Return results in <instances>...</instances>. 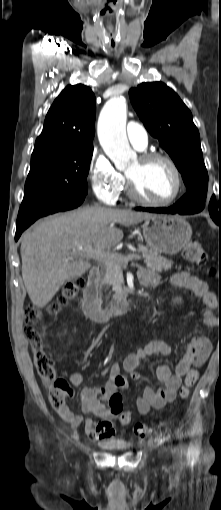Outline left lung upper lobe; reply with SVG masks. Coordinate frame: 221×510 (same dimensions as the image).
<instances>
[{
    "mask_svg": "<svg viewBox=\"0 0 221 510\" xmlns=\"http://www.w3.org/2000/svg\"><path fill=\"white\" fill-rule=\"evenodd\" d=\"M131 103L149 133L173 159L187 193L176 204L203 209L208 201V173L192 114L179 96L162 82L142 83L129 91ZM209 211H221L214 196Z\"/></svg>",
    "mask_w": 221,
    "mask_h": 510,
    "instance_id": "left-lung-upper-lobe-1",
    "label": "left lung upper lobe"
}]
</instances>
